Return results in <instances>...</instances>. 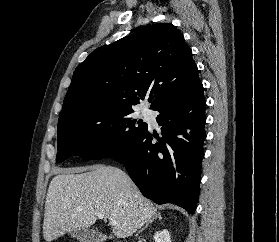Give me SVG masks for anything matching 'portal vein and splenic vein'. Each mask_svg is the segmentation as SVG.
<instances>
[{"label":"portal vein and splenic vein","mask_w":279,"mask_h":242,"mask_svg":"<svg viewBox=\"0 0 279 242\" xmlns=\"http://www.w3.org/2000/svg\"><path fill=\"white\" fill-rule=\"evenodd\" d=\"M97 216H98L99 219L105 218V217H104V214H102V213H98ZM110 223H111L112 226H115V225H116V221H115V220H111Z\"/></svg>","instance_id":"18ae733b"}]
</instances>
